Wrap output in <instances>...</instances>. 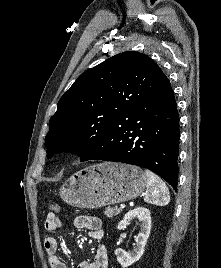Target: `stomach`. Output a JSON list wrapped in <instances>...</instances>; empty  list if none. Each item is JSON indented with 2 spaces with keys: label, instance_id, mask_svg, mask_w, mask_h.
Listing matches in <instances>:
<instances>
[{
  "label": "stomach",
  "instance_id": "obj_1",
  "mask_svg": "<svg viewBox=\"0 0 221 268\" xmlns=\"http://www.w3.org/2000/svg\"><path fill=\"white\" fill-rule=\"evenodd\" d=\"M146 182V175L139 167L104 162L73 174L59 193L71 206L94 209L136 198L144 191Z\"/></svg>",
  "mask_w": 221,
  "mask_h": 268
}]
</instances>
